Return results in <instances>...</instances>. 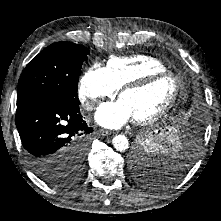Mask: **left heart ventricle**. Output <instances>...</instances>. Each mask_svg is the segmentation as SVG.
<instances>
[{
    "instance_id": "left-heart-ventricle-1",
    "label": "left heart ventricle",
    "mask_w": 221,
    "mask_h": 221,
    "mask_svg": "<svg viewBox=\"0 0 221 221\" xmlns=\"http://www.w3.org/2000/svg\"><path fill=\"white\" fill-rule=\"evenodd\" d=\"M174 90V80L163 77L142 89L125 92L120 99L129 108L133 119L146 118L163 109Z\"/></svg>"
}]
</instances>
